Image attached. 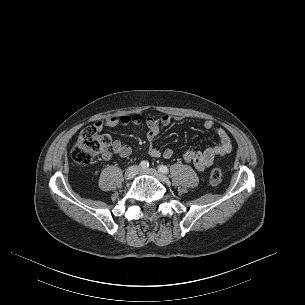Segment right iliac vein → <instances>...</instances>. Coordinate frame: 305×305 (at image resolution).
I'll use <instances>...</instances> for the list:
<instances>
[{
    "mask_svg": "<svg viewBox=\"0 0 305 305\" xmlns=\"http://www.w3.org/2000/svg\"><path fill=\"white\" fill-rule=\"evenodd\" d=\"M139 167L138 166H130L126 169L124 177L127 180H131L135 177V175L138 173Z\"/></svg>",
    "mask_w": 305,
    "mask_h": 305,
    "instance_id": "right-iliac-vein-1",
    "label": "right iliac vein"
}]
</instances>
